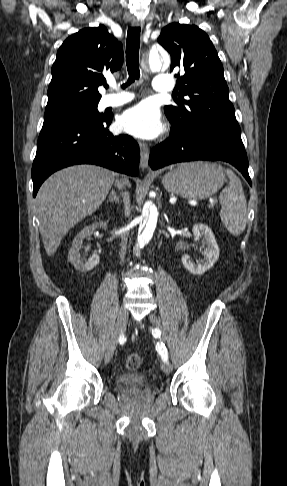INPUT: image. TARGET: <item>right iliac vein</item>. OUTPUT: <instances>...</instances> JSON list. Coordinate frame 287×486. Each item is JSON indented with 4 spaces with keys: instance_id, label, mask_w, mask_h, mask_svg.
<instances>
[{
    "instance_id": "right-iliac-vein-1",
    "label": "right iliac vein",
    "mask_w": 287,
    "mask_h": 486,
    "mask_svg": "<svg viewBox=\"0 0 287 486\" xmlns=\"http://www.w3.org/2000/svg\"><path fill=\"white\" fill-rule=\"evenodd\" d=\"M128 320V311L124 306H121L119 309L118 317H117V323L116 326L113 330L111 339L109 341V344L107 346V350L105 353V363H109L113 357L117 342L119 337L123 334L126 324Z\"/></svg>"
}]
</instances>
